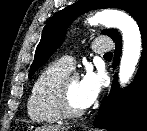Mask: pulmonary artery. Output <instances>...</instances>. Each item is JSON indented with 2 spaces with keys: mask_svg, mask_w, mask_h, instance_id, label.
<instances>
[{
  "mask_svg": "<svg viewBox=\"0 0 147 131\" xmlns=\"http://www.w3.org/2000/svg\"><path fill=\"white\" fill-rule=\"evenodd\" d=\"M111 49L112 42L109 39L98 38L92 42V50L97 54L109 52ZM59 62L70 71L74 68V59L70 56L61 58Z\"/></svg>",
  "mask_w": 147,
  "mask_h": 131,
  "instance_id": "obj_1",
  "label": "pulmonary artery"
}]
</instances>
